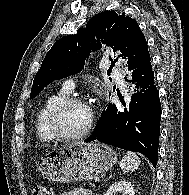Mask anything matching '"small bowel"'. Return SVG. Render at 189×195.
Instances as JSON below:
<instances>
[{
    "label": "small bowel",
    "instance_id": "small-bowel-1",
    "mask_svg": "<svg viewBox=\"0 0 189 195\" xmlns=\"http://www.w3.org/2000/svg\"><path fill=\"white\" fill-rule=\"evenodd\" d=\"M61 195H92L91 192L85 188H74L63 192Z\"/></svg>",
    "mask_w": 189,
    "mask_h": 195
}]
</instances>
